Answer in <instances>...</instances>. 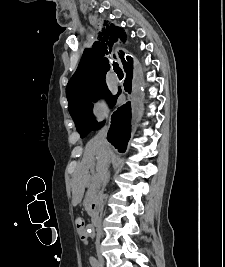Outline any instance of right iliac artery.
<instances>
[{
  "instance_id": "1",
  "label": "right iliac artery",
  "mask_w": 225,
  "mask_h": 267,
  "mask_svg": "<svg viewBox=\"0 0 225 267\" xmlns=\"http://www.w3.org/2000/svg\"><path fill=\"white\" fill-rule=\"evenodd\" d=\"M89 231L90 229H88V232ZM90 264L92 265V267H100L99 262L94 257H90Z\"/></svg>"
}]
</instances>
